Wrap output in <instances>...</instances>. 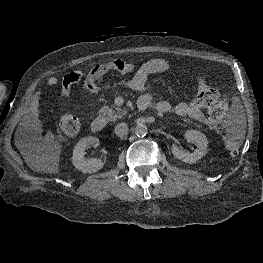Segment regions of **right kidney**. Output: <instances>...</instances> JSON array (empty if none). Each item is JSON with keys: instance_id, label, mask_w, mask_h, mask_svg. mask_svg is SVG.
<instances>
[{"instance_id": "right-kidney-1", "label": "right kidney", "mask_w": 263, "mask_h": 263, "mask_svg": "<svg viewBox=\"0 0 263 263\" xmlns=\"http://www.w3.org/2000/svg\"><path fill=\"white\" fill-rule=\"evenodd\" d=\"M88 145L97 147L99 145V139L96 137L82 138L74 147L72 162L75 168L83 173H94L103 168L104 163L100 159H85V148Z\"/></svg>"}]
</instances>
